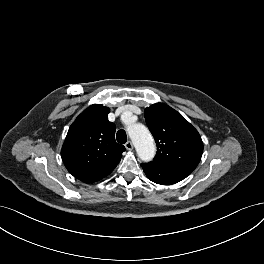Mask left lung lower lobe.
Here are the masks:
<instances>
[{"mask_svg":"<svg viewBox=\"0 0 264 264\" xmlns=\"http://www.w3.org/2000/svg\"><path fill=\"white\" fill-rule=\"evenodd\" d=\"M146 176L161 185L175 184L186 178L192 171L182 167L151 161L141 164Z\"/></svg>","mask_w":264,"mask_h":264,"instance_id":"left-lung-lower-lobe-1","label":"left lung lower lobe"}]
</instances>
